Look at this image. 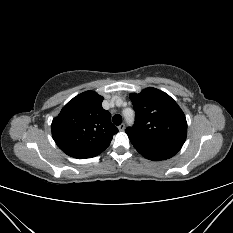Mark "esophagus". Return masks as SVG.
<instances>
[{
    "mask_svg": "<svg viewBox=\"0 0 233 233\" xmlns=\"http://www.w3.org/2000/svg\"><path fill=\"white\" fill-rule=\"evenodd\" d=\"M119 131H124L125 130V124L122 123L118 126Z\"/></svg>",
    "mask_w": 233,
    "mask_h": 233,
    "instance_id": "34e87169",
    "label": "esophagus"
}]
</instances>
